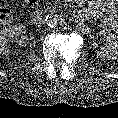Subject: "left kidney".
I'll list each match as a JSON object with an SVG mask.
<instances>
[{"label":"left kidney","instance_id":"obj_1","mask_svg":"<svg viewBox=\"0 0 118 118\" xmlns=\"http://www.w3.org/2000/svg\"><path fill=\"white\" fill-rule=\"evenodd\" d=\"M100 36L107 42L108 48L105 52L97 51V56L105 61L118 59V38L107 30H101Z\"/></svg>","mask_w":118,"mask_h":118}]
</instances>
